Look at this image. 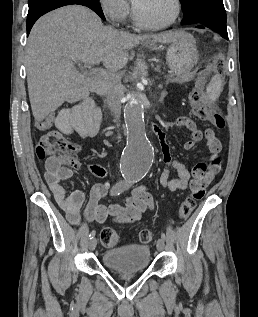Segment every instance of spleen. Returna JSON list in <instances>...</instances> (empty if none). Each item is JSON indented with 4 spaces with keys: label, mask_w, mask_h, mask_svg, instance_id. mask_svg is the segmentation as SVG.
Here are the masks:
<instances>
[{
    "label": "spleen",
    "mask_w": 258,
    "mask_h": 317,
    "mask_svg": "<svg viewBox=\"0 0 258 317\" xmlns=\"http://www.w3.org/2000/svg\"><path fill=\"white\" fill-rule=\"evenodd\" d=\"M206 92L210 100H217L222 92V80L219 74L212 76L209 84L206 86Z\"/></svg>",
    "instance_id": "1"
}]
</instances>
